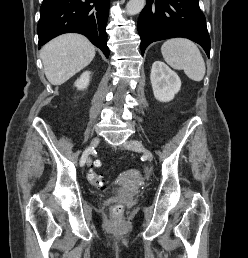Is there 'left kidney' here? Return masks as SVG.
<instances>
[{
    "label": "left kidney",
    "instance_id": "left-kidney-1",
    "mask_svg": "<svg viewBox=\"0 0 248 258\" xmlns=\"http://www.w3.org/2000/svg\"><path fill=\"white\" fill-rule=\"evenodd\" d=\"M150 80L154 97L160 102L171 101L181 88V80L177 73L162 61L153 63Z\"/></svg>",
    "mask_w": 248,
    "mask_h": 258
}]
</instances>
